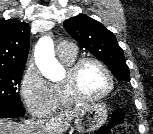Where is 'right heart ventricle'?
I'll use <instances>...</instances> for the list:
<instances>
[{
  "mask_svg": "<svg viewBox=\"0 0 153 134\" xmlns=\"http://www.w3.org/2000/svg\"><path fill=\"white\" fill-rule=\"evenodd\" d=\"M60 60L67 67H69L77 60V54L75 53L71 56L60 57ZM52 90H53V100H54L53 110L66 108V107H69L73 104V102L70 101L67 98V96L65 95V92H64L62 85H61V82H57V83L52 84Z\"/></svg>",
  "mask_w": 153,
  "mask_h": 134,
  "instance_id": "e07e8e85",
  "label": "right heart ventricle"
}]
</instances>
